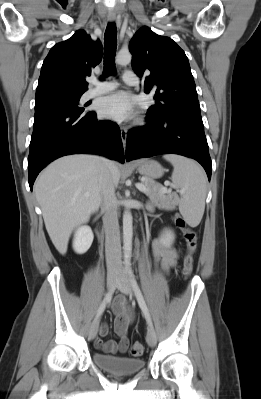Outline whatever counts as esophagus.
Instances as JSON below:
<instances>
[{"label":"esophagus","mask_w":261,"mask_h":399,"mask_svg":"<svg viewBox=\"0 0 261 399\" xmlns=\"http://www.w3.org/2000/svg\"><path fill=\"white\" fill-rule=\"evenodd\" d=\"M108 20H109V22H115V20H116V15L115 14H109L108 15ZM120 135H121V140H122V143H123V147H124V149H125V147H126V140H127V129L125 128V127H123V126H121L120 127Z\"/></svg>","instance_id":"1"}]
</instances>
